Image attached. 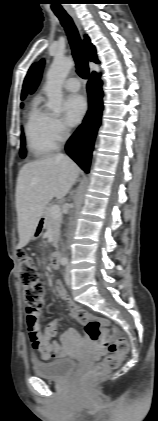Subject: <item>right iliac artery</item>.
<instances>
[{
    "label": "right iliac artery",
    "instance_id": "obj_1",
    "mask_svg": "<svg viewBox=\"0 0 158 421\" xmlns=\"http://www.w3.org/2000/svg\"><path fill=\"white\" fill-rule=\"evenodd\" d=\"M61 264H62L63 266L67 265V260H66V259H62Z\"/></svg>",
    "mask_w": 158,
    "mask_h": 421
}]
</instances>
